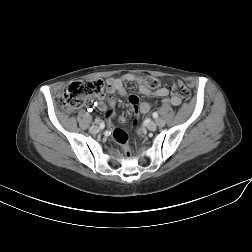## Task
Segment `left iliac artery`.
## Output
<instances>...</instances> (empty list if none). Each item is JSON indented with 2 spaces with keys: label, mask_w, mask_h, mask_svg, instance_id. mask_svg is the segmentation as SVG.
<instances>
[{
  "label": "left iliac artery",
  "mask_w": 252,
  "mask_h": 252,
  "mask_svg": "<svg viewBox=\"0 0 252 252\" xmlns=\"http://www.w3.org/2000/svg\"><path fill=\"white\" fill-rule=\"evenodd\" d=\"M152 115H153L154 118L158 117V114L156 112H154Z\"/></svg>",
  "instance_id": "1"
}]
</instances>
